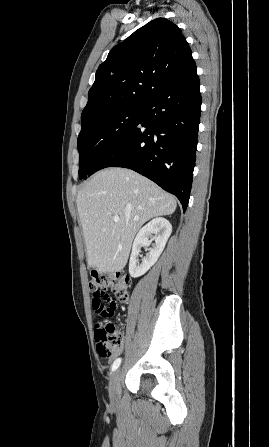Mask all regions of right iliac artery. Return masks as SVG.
<instances>
[{"instance_id": "right-iliac-artery-1", "label": "right iliac artery", "mask_w": 269, "mask_h": 447, "mask_svg": "<svg viewBox=\"0 0 269 447\" xmlns=\"http://www.w3.org/2000/svg\"><path fill=\"white\" fill-rule=\"evenodd\" d=\"M120 363H121V358L116 359L112 365V371H115L119 367Z\"/></svg>"}]
</instances>
